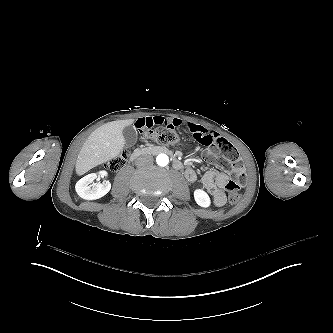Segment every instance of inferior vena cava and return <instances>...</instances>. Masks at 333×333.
<instances>
[{
    "label": "inferior vena cava",
    "mask_w": 333,
    "mask_h": 333,
    "mask_svg": "<svg viewBox=\"0 0 333 333\" xmlns=\"http://www.w3.org/2000/svg\"><path fill=\"white\" fill-rule=\"evenodd\" d=\"M153 163V156L150 154H142L135 160L136 166H146Z\"/></svg>",
    "instance_id": "602c4592"
}]
</instances>
